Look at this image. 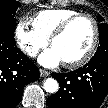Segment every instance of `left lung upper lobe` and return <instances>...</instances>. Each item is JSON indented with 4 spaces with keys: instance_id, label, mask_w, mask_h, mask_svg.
Masks as SVG:
<instances>
[{
    "instance_id": "5c2ea615",
    "label": "left lung upper lobe",
    "mask_w": 108,
    "mask_h": 108,
    "mask_svg": "<svg viewBox=\"0 0 108 108\" xmlns=\"http://www.w3.org/2000/svg\"><path fill=\"white\" fill-rule=\"evenodd\" d=\"M98 21L100 22V25H99L100 46L98 47L93 57H97V56L108 57V24L103 22L104 19L100 15H98Z\"/></svg>"
}]
</instances>
